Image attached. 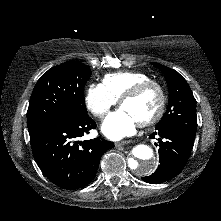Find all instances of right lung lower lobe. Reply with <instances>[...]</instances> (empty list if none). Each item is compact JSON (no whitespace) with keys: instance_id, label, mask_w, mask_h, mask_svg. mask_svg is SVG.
Segmentation results:
<instances>
[{"instance_id":"right-lung-lower-lobe-1","label":"right lung lower lobe","mask_w":221,"mask_h":221,"mask_svg":"<svg viewBox=\"0 0 221 221\" xmlns=\"http://www.w3.org/2000/svg\"><path fill=\"white\" fill-rule=\"evenodd\" d=\"M96 128L87 113H78L63 123L30 132L32 152L43 174L63 189H78L95 177L102 155L114 147L100 137L78 141Z\"/></svg>"}]
</instances>
